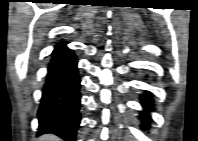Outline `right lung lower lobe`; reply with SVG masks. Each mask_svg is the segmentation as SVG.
Masks as SVG:
<instances>
[{"label": "right lung lower lobe", "instance_id": "obj_1", "mask_svg": "<svg viewBox=\"0 0 198 141\" xmlns=\"http://www.w3.org/2000/svg\"><path fill=\"white\" fill-rule=\"evenodd\" d=\"M38 110V135L52 133L74 141L80 124V82L77 59L66 43L52 52Z\"/></svg>", "mask_w": 198, "mask_h": 141}]
</instances>
